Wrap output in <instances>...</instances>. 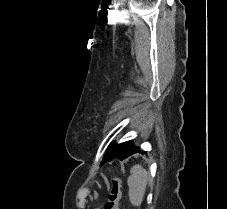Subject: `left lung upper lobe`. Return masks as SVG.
Instances as JSON below:
<instances>
[{"label": "left lung upper lobe", "instance_id": "left-lung-upper-lobe-1", "mask_svg": "<svg viewBox=\"0 0 227 209\" xmlns=\"http://www.w3.org/2000/svg\"><path fill=\"white\" fill-rule=\"evenodd\" d=\"M132 145V141H126L118 145L111 144L110 147L107 149L101 164L105 162H110L114 158L120 160L122 156L132 148Z\"/></svg>", "mask_w": 227, "mask_h": 209}]
</instances>
